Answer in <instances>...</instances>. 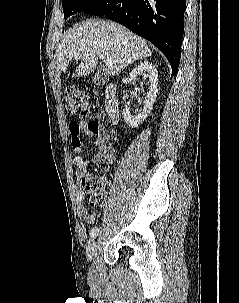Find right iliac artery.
Returning <instances> with one entry per match:
<instances>
[{
	"label": "right iliac artery",
	"mask_w": 239,
	"mask_h": 303,
	"mask_svg": "<svg viewBox=\"0 0 239 303\" xmlns=\"http://www.w3.org/2000/svg\"><path fill=\"white\" fill-rule=\"evenodd\" d=\"M98 231H99V229H98L97 226L92 228L91 231H90V239H93L97 235Z\"/></svg>",
	"instance_id": "1"
}]
</instances>
